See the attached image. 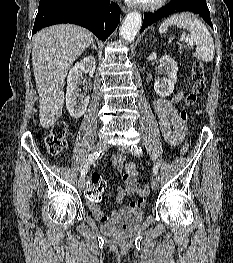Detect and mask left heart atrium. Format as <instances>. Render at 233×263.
I'll list each match as a JSON object with an SVG mask.
<instances>
[{
  "label": "left heart atrium",
  "mask_w": 233,
  "mask_h": 263,
  "mask_svg": "<svg viewBox=\"0 0 233 263\" xmlns=\"http://www.w3.org/2000/svg\"><path fill=\"white\" fill-rule=\"evenodd\" d=\"M127 2H130V3H142V2H145V0H125Z\"/></svg>",
  "instance_id": "left-heart-atrium-1"
}]
</instances>
